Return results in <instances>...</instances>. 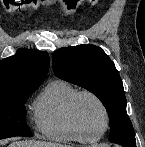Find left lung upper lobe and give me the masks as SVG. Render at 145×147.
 I'll use <instances>...</instances> for the list:
<instances>
[{
	"label": "left lung upper lobe",
	"instance_id": "left-lung-upper-lobe-1",
	"mask_svg": "<svg viewBox=\"0 0 145 147\" xmlns=\"http://www.w3.org/2000/svg\"><path fill=\"white\" fill-rule=\"evenodd\" d=\"M57 77L87 89L105 106L111 133L109 141L124 147H136L132 123L126 112L123 83L114 63L94 45L61 48L52 55Z\"/></svg>",
	"mask_w": 145,
	"mask_h": 147
}]
</instances>
